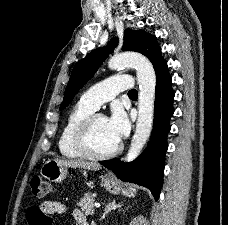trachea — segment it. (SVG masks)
<instances>
[{"instance_id":"1","label":"trachea","mask_w":228,"mask_h":225,"mask_svg":"<svg viewBox=\"0 0 228 225\" xmlns=\"http://www.w3.org/2000/svg\"><path fill=\"white\" fill-rule=\"evenodd\" d=\"M135 95H137V90H135V88H132V90L128 92V96H135Z\"/></svg>"}]
</instances>
